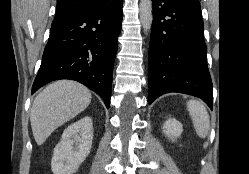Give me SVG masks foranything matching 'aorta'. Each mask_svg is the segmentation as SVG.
<instances>
[{
	"label": "aorta",
	"mask_w": 249,
	"mask_h": 174,
	"mask_svg": "<svg viewBox=\"0 0 249 174\" xmlns=\"http://www.w3.org/2000/svg\"><path fill=\"white\" fill-rule=\"evenodd\" d=\"M139 11L141 25L145 32H149L153 22L152 1L140 0Z\"/></svg>",
	"instance_id": "aorta-1"
}]
</instances>
